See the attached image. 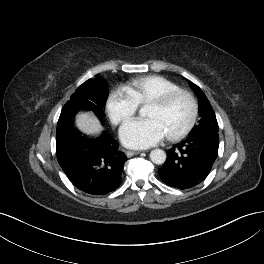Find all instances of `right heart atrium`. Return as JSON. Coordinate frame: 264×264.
Returning <instances> with one entry per match:
<instances>
[{
	"instance_id": "right-heart-atrium-1",
	"label": "right heart atrium",
	"mask_w": 264,
	"mask_h": 264,
	"mask_svg": "<svg viewBox=\"0 0 264 264\" xmlns=\"http://www.w3.org/2000/svg\"><path fill=\"white\" fill-rule=\"evenodd\" d=\"M106 109L114 124H122L133 117L138 105L126 88H117L109 95Z\"/></svg>"
}]
</instances>
